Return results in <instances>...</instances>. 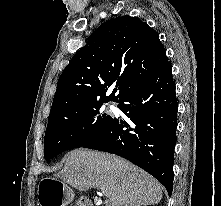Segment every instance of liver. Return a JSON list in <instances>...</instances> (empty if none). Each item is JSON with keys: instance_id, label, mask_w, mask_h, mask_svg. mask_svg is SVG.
<instances>
[{"instance_id": "1", "label": "liver", "mask_w": 221, "mask_h": 206, "mask_svg": "<svg viewBox=\"0 0 221 206\" xmlns=\"http://www.w3.org/2000/svg\"><path fill=\"white\" fill-rule=\"evenodd\" d=\"M58 177L79 190L97 188L105 206L154 205L162 199V186L151 175L116 155L76 149L65 156Z\"/></svg>"}]
</instances>
